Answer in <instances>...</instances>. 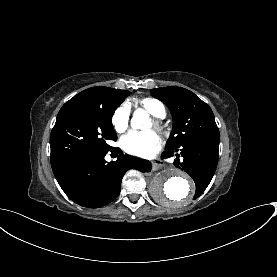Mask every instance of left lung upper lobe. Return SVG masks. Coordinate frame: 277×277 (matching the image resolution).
Here are the masks:
<instances>
[{
  "mask_svg": "<svg viewBox=\"0 0 277 277\" xmlns=\"http://www.w3.org/2000/svg\"><path fill=\"white\" fill-rule=\"evenodd\" d=\"M151 94L166 104L173 116V128L166 151L179 148L198 137L219 135L211 108L193 92L169 86L152 89Z\"/></svg>",
  "mask_w": 277,
  "mask_h": 277,
  "instance_id": "left-lung-upper-lobe-1",
  "label": "left lung upper lobe"
}]
</instances>
